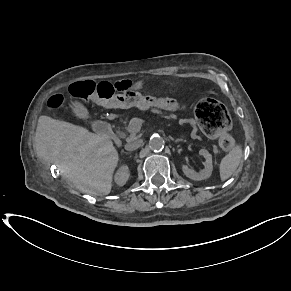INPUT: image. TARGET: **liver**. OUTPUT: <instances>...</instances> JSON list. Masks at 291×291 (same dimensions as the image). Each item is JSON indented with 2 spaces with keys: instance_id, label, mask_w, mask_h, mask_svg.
<instances>
[{
  "instance_id": "liver-1",
  "label": "liver",
  "mask_w": 291,
  "mask_h": 291,
  "mask_svg": "<svg viewBox=\"0 0 291 291\" xmlns=\"http://www.w3.org/2000/svg\"><path fill=\"white\" fill-rule=\"evenodd\" d=\"M37 155L57 165L80 192L98 196L112 189L118 151L105 136L65 121L40 116L35 134Z\"/></svg>"
}]
</instances>
